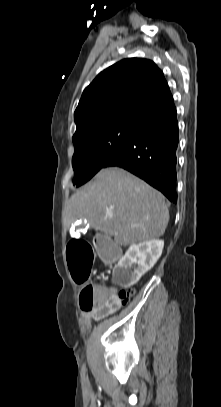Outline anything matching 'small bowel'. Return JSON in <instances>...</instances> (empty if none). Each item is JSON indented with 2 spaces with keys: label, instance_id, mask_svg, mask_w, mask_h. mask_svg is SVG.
<instances>
[{
  "label": "small bowel",
  "instance_id": "obj_1",
  "mask_svg": "<svg viewBox=\"0 0 221 407\" xmlns=\"http://www.w3.org/2000/svg\"><path fill=\"white\" fill-rule=\"evenodd\" d=\"M92 315H93L94 318H100V317L104 316V315H101V314H97L95 312H92Z\"/></svg>",
  "mask_w": 221,
  "mask_h": 407
}]
</instances>
